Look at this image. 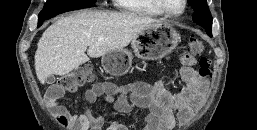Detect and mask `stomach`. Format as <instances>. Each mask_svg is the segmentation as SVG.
<instances>
[{"instance_id":"obj_1","label":"stomach","mask_w":257,"mask_h":130,"mask_svg":"<svg viewBox=\"0 0 257 130\" xmlns=\"http://www.w3.org/2000/svg\"><path fill=\"white\" fill-rule=\"evenodd\" d=\"M149 42L142 43L138 37L132 40L134 54L144 60H158L170 54L180 41L179 33L167 22L156 24L144 30ZM132 53L126 49L114 50L102 56L104 70L114 76L128 72L132 64Z\"/></svg>"}]
</instances>
